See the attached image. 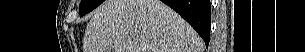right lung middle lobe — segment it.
Segmentation results:
<instances>
[{
    "mask_svg": "<svg viewBox=\"0 0 305 52\" xmlns=\"http://www.w3.org/2000/svg\"><path fill=\"white\" fill-rule=\"evenodd\" d=\"M104 0H82L79 5V14L83 16L99 6Z\"/></svg>",
    "mask_w": 305,
    "mask_h": 52,
    "instance_id": "right-lung-middle-lobe-1",
    "label": "right lung middle lobe"
}]
</instances>
